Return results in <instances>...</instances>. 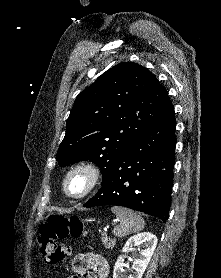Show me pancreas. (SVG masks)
<instances>
[{
    "label": "pancreas",
    "instance_id": "pancreas-1",
    "mask_svg": "<svg viewBox=\"0 0 221 278\" xmlns=\"http://www.w3.org/2000/svg\"><path fill=\"white\" fill-rule=\"evenodd\" d=\"M101 242L105 246V248L113 249V247L115 246L116 240L112 239L110 237H107V235L104 233L102 235Z\"/></svg>",
    "mask_w": 221,
    "mask_h": 278
}]
</instances>
